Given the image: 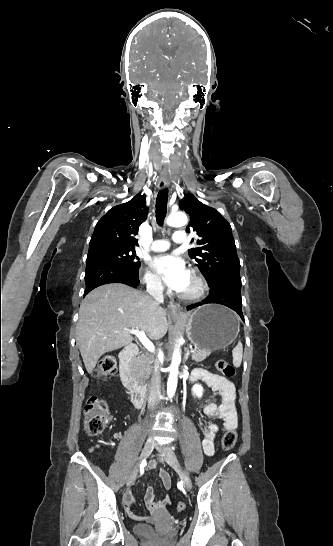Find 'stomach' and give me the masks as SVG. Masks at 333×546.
<instances>
[{"label":"stomach","instance_id":"stomach-1","mask_svg":"<svg viewBox=\"0 0 333 546\" xmlns=\"http://www.w3.org/2000/svg\"><path fill=\"white\" fill-rule=\"evenodd\" d=\"M235 313L225 306L209 304L196 309L187 322V335L198 349L216 351L228 347L238 335Z\"/></svg>","mask_w":333,"mask_h":546}]
</instances>
